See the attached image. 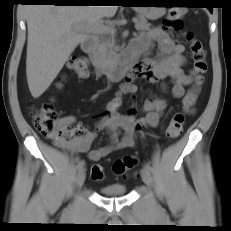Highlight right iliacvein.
<instances>
[{
  "label": "right iliac vein",
  "instance_id": "right-iliac-vein-1",
  "mask_svg": "<svg viewBox=\"0 0 231 231\" xmlns=\"http://www.w3.org/2000/svg\"><path fill=\"white\" fill-rule=\"evenodd\" d=\"M85 182V171L80 170L76 177V184L78 187H81Z\"/></svg>",
  "mask_w": 231,
  "mask_h": 231
}]
</instances>
